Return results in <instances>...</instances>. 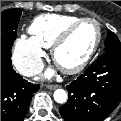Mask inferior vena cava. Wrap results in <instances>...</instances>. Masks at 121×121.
Returning a JSON list of instances; mask_svg holds the SVG:
<instances>
[{
  "label": "inferior vena cava",
  "instance_id": "1",
  "mask_svg": "<svg viewBox=\"0 0 121 121\" xmlns=\"http://www.w3.org/2000/svg\"><path fill=\"white\" fill-rule=\"evenodd\" d=\"M43 68H44L43 62L38 61L37 63L25 64V65L19 66L17 69L24 76H32L34 74L41 73Z\"/></svg>",
  "mask_w": 121,
  "mask_h": 121
}]
</instances>
